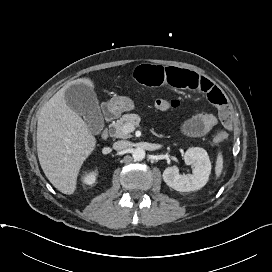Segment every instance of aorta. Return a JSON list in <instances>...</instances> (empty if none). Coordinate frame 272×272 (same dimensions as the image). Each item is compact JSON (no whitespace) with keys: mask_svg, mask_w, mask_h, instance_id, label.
I'll use <instances>...</instances> for the list:
<instances>
[{"mask_svg":"<svg viewBox=\"0 0 272 272\" xmlns=\"http://www.w3.org/2000/svg\"><path fill=\"white\" fill-rule=\"evenodd\" d=\"M132 156L136 161H142L145 158V150L142 148H136L132 152Z\"/></svg>","mask_w":272,"mask_h":272,"instance_id":"762f6f07","label":"aorta"}]
</instances>
